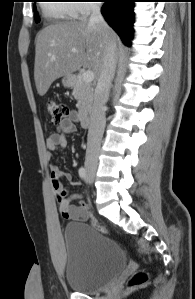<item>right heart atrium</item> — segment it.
<instances>
[{
  "label": "right heart atrium",
  "mask_w": 195,
  "mask_h": 299,
  "mask_svg": "<svg viewBox=\"0 0 195 299\" xmlns=\"http://www.w3.org/2000/svg\"><path fill=\"white\" fill-rule=\"evenodd\" d=\"M90 2H93V0H76L73 5H74V15L78 16H87L89 15L93 8L90 5Z\"/></svg>",
  "instance_id": "right-heart-atrium-1"
}]
</instances>
